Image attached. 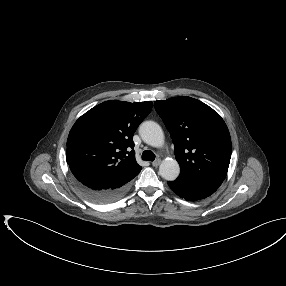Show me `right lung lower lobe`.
<instances>
[{"mask_svg": "<svg viewBox=\"0 0 286 286\" xmlns=\"http://www.w3.org/2000/svg\"><path fill=\"white\" fill-rule=\"evenodd\" d=\"M76 182L80 190L86 196L99 203L113 202L122 197L129 188L128 183L119 186L110 185L103 188H97V187H91L89 183L84 184L77 180Z\"/></svg>", "mask_w": 286, "mask_h": 286, "instance_id": "1", "label": "right lung lower lobe"}]
</instances>
